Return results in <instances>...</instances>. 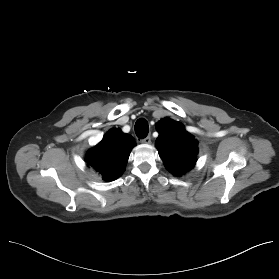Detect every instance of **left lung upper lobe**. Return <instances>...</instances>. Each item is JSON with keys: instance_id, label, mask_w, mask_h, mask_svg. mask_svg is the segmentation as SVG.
<instances>
[{"instance_id": "1", "label": "left lung upper lobe", "mask_w": 279, "mask_h": 279, "mask_svg": "<svg viewBox=\"0 0 279 279\" xmlns=\"http://www.w3.org/2000/svg\"><path fill=\"white\" fill-rule=\"evenodd\" d=\"M157 130L156 147L165 167L177 176L193 168L197 160L198 142L184 126L165 118L158 122Z\"/></svg>"}]
</instances>
